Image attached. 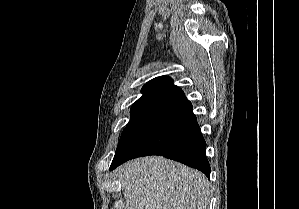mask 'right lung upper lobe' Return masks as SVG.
Instances as JSON below:
<instances>
[{"label": "right lung upper lobe", "instance_id": "obj_1", "mask_svg": "<svg viewBox=\"0 0 299 209\" xmlns=\"http://www.w3.org/2000/svg\"><path fill=\"white\" fill-rule=\"evenodd\" d=\"M178 90H180L179 87L173 84L171 78L167 76L157 77L144 85L141 90L143 93L142 97H140L134 104L160 105Z\"/></svg>", "mask_w": 299, "mask_h": 209}]
</instances>
